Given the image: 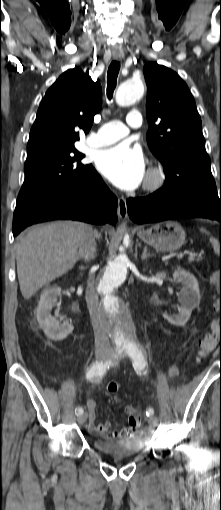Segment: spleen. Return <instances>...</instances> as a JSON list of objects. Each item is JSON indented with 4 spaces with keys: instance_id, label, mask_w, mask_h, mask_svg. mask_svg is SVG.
I'll list each match as a JSON object with an SVG mask.
<instances>
[{
    "instance_id": "obj_1",
    "label": "spleen",
    "mask_w": 221,
    "mask_h": 510,
    "mask_svg": "<svg viewBox=\"0 0 221 510\" xmlns=\"http://www.w3.org/2000/svg\"><path fill=\"white\" fill-rule=\"evenodd\" d=\"M202 232L206 233V234H209L205 229H200ZM210 242L211 244L213 245V248H214V251L217 252L218 251V248H219V245H218V241L217 239L215 238H210Z\"/></svg>"
}]
</instances>
